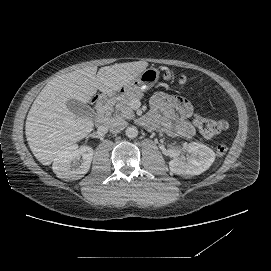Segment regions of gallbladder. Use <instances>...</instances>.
<instances>
[{
	"mask_svg": "<svg viewBox=\"0 0 271 271\" xmlns=\"http://www.w3.org/2000/svg\"><path fill=\"white\" fill-rule=\"evenodd\" d=\"M68 109L76 116L93 118L95 112L88 104H81L77 100H68L66 102Z\"/></svg>",
	"mask_w": 271,
	"mask_h": 271,
	"instance_id": "bac80fb5",
	"label": "gallbladder"
}]
</instances>
